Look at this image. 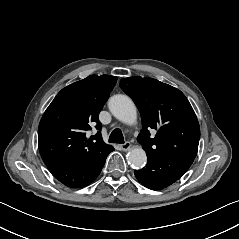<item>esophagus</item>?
Listing matches in <instances>:
<instances>
[{"mask_svg":"<svg viewBox=\"0 0 239 239\" xmlns=\"http://www.w3.org/2000/svg\"><path fill=\"white\" fill-rule=\"evenodd\" d=\"M130 147H131V143L128 142V141L121 145V148H122L123 151L129 150Z\"/></svg>","mask_w":239,"mask_h":239,"instance_id":"esophagus-1","label":"esophagus"}]
</instances>
